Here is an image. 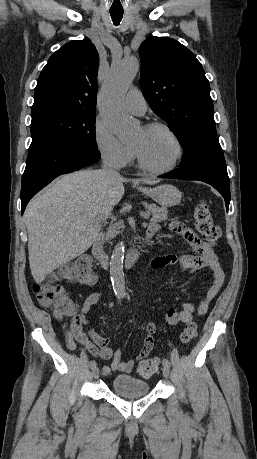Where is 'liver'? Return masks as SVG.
<instances>
[{
  "label": "liver",
  "mask_w": 257,
  "mask_h": 459,
  "mask_svg": "<svg viewBox=\"0 0 257 459\" xmlns=\"http://www.w3.org/2000/svg\"><path fill=\"white\" fill-rule=\"evenodd\" d=\"M128 181L101 170H80L59 177L29 202L24 219L29 264L36 283L91 247L100 223L121 200L123 182ZM141 181L148 185L158 182Z\"/></svg>",
  "instance_id": "obj_1"
}]
</instances>
